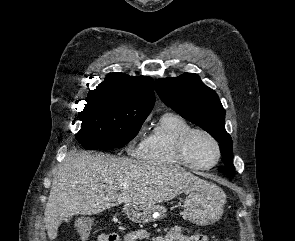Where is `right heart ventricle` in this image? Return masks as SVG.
I'll use <instances>...</instances> for the list:
<instances>
[{"label": "right heart ventricle", "mask_w": 295, "mask_h": 241, "mask_svg": "<svg viewBox=\"0 0 295 241\" xmlns=\"http://www.w3.org/2000/svg\"><path fill=\"white\" fill-rule=\"evenodd\" d=\"M191 128V124L183 116L174 112L164 113L141 142L136 154L152 164L180 166L181 162L176 154L177 143Z\"/></svg>", "instance_id": "obj_1"}]
</instances>
